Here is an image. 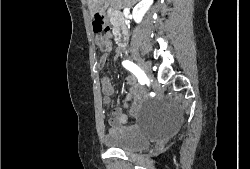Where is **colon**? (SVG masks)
Returning <instances> with one entry per match:
<instances>
[{"label": "colon", "instance_id": "obj_1", "mask_svg": "<svg viewBox=\"0 0 250 169\" xmlns=\"http://www.w3.org/2000/svg\"><path fill=\"white\" fill-rule=\"evenodd\" d=\"M93 31L95 33H101L103 31L110 33V27L105 24L103 16L100 13H97L95 15V18L93 21Z\"/></svg>", "mask_w": 250, "mask_h": 169}]
</instances>
